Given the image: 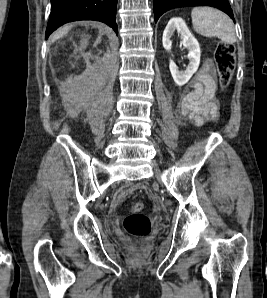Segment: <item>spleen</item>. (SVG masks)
<instances>
[{
	"instance_id": "3e777b00",
	"label": "spleen",
	"mask_w": 267,
	"mask_h": 298,
	"mask_svg": "<svg viewBox=\"0 0 267 298\" xmlns=\"http://www.w3.org/2000/svg\"><path fill=\"white\" fill-rule=\"evenodd\" d=\"M194 30L205 37H218L224 43L236 42L233 21L223 12L211 7H195L191 12Z\"/></svg>"
}]
</instances>
